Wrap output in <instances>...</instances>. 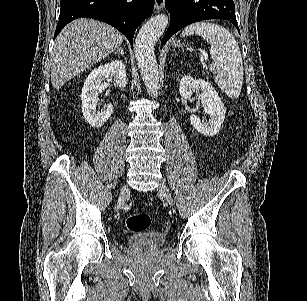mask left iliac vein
Masks as SVG:
<instances>
[{
	"label": "left iliac vein",
	"instance_id": "4c4485c4",
	"mask_svg": "<svg viewBox=\"0 0 307 301\" xmlns=\"http://www.w3.org/2000/svg\"><path fill=\"white\" fill-rule=\"evenodd\" d=\"M158 192L164 197L170 206L173 205V199L166 184L162 183L158 188Z\"/></svg>",
	"mask_w": 307,
	"mask_h": 301
}]
</instances>
